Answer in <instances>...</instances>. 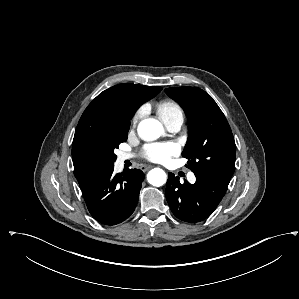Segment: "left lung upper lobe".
<instances>
[{
    "instance_id": "1",
    "label": "left lung upper lobe",
    "mask_w": 299,
    "mask_h": 299,
    "mask_svg": "<svg viewBox=\"0 0 299 299\" xmlns=\"http://www.w3.org/2000/svg\"><path fill=\"white\" fill-rule=\"evenodd\" d=\"M166 93L185 110L189 120L183 157L193 173H206L230 182L236 147L230 126L216 102L197 87L167 88Z\"/></svg>"
}]
</instances>
